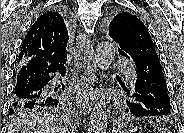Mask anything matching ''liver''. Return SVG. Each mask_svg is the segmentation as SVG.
Listing matches in <instances>:
<instances>
[{"mask_svg": "<svg viewBox=\"0 0 184 133\" xmlns=\"http://www.w3.org/2000/svg\"><path fill=\"white\" fill-rule=\"evenodd\" d=\"M59 116L49 112H31L15 118L8 133H65Z\"/></svg>", "mask_w": 184, "mask_h": 133, "instance_id": "1", "label": "liver"}]
</instances>
